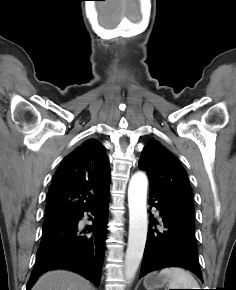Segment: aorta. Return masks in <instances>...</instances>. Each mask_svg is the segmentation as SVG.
<instances>
[{
	"mask_svg": "<svg viewBox=\"0 0 236 290\" xmlns=\"http://www.w3.org/2000/svg\"><path fill=\"white\" fill-rule=\"evenodd\" d=\"M147 186L144 173H135L128 186L129 236L125 256V279L130 283L141 263L147 238Z\"/></svg>",
	"mask_w": 236,
	"mask_h": 290,
	"instance_id": "obj_1",
	"label": "aorta"
}]
</instances>
